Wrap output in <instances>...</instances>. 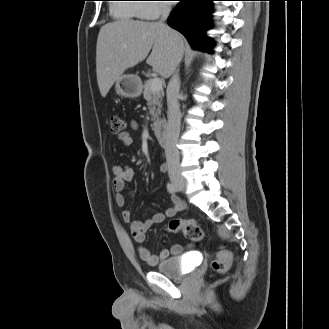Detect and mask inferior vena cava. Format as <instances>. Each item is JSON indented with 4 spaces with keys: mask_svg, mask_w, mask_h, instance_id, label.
<instances>
[{
    "mask_svg": "<svg viewBox=\"0 0 329 329\" xmlns=\"http://www.w3.org/2000/svg\"><path fill=\"white\" fill-rule=\"evenodd\" d=\"M171 8L169 6L162 7V15L158 22L160 26L168 27L164 22L169 16ZM180 89V79L178 70L175 71L167 86V106H168V124L165 137V154L168 165V174L170 179L180 178V161L179 152L176 144L180 134L181 115L178 102V94Z\"/></svg>",
    "mask_w": 329,
    "mask_h": 329,
    "instance_id": "obj_1",
    "label": "inferior vena cava"
}]
</instances>
